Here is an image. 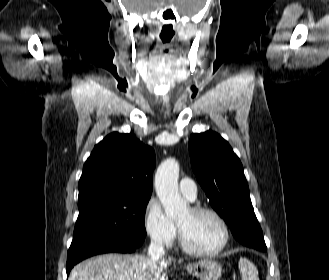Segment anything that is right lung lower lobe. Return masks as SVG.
<instances>
[{
    "instance_id": "1",
    "label": "right lung lower lobe",
    "mask_w": 329,
    "mask_h": 280,
    "mask_svg": "<svg viewBox=\"0 0 329 280\" xmlns=\"http://www.w3.org/2000/svg\"><path fill=\"white\" fill-rule=\"evenodd\" d=\"M139 246H130L122 243H117L113 241H94L83 248L79 249L77 252L73 253L71 256L67 257L66 272L69 275L70 270L73 266L80 261L91 257L93 255L108 253V252H120V253H131L134 252Z\"/></svg>"
}]
</instances>
